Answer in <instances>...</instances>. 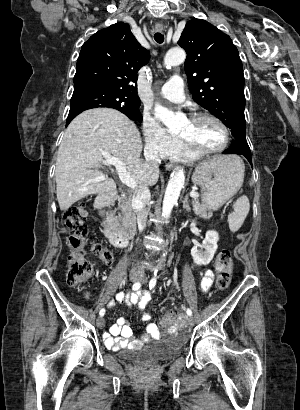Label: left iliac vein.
<instances>
[{
	"label": "left iliac vein",
	"mask_w": 300,
	"mask_h": 410,
	"mask_svg": "<svg viewBox=\"0 0 300 410\" xmlns=\"http://www.w3.org/2000/svg\"><path fill=\"white\" fill-rule=\"evenodd\" d=\"M185 319L189 325H192L193 319L190 316H186Z\"/></svg>",
	"instance_id": "obj_1"
}]
</instances>
